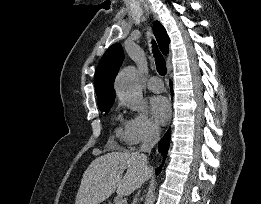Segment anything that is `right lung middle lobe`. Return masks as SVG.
Segmentation results:
<instances>
[{"label": "right lung middle lobe", "instance_id": "obj_1", "mask_svg": "<svg viewBox=\"0 0 261 204\" xmlns=\"http://www.w3.org/2000/svg\"><path fill=\"white\" fill-rule=\"evenodd\" d=\"M113 101L112 102H107L105 104H101L99 105V108L101 111H104V112H107L108 110H110V108L112 107L113 105Z\"/></svg>", "mask_w": 261, "mask_h": 204}]
</instances>
